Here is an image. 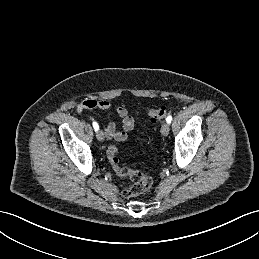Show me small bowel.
Segmentation results:
<instances>
[{
	"mask_svg": "<svg viewBox=\"0 0 259 259\" xmlns=\"http://www.w3.org/2000/svg\"><path fill=\"white\" fill-rule=\"evenodd\" d=\"M111 107V103L106 100L86 99L79 104L77 112L81 113L85 109L109 110ZM115 112L121 121V127L118 128L116 123L110 122L104 129L105 136L119 142L125 141L128 138L129 131L134 127V119L123 106L116 107Z\"/></svg>",
	"mask_w": 259,
	"mask_h": 259,
	"instance_id": "small-bowel-1",
	"label": "small bowel"
}]
</instances>
